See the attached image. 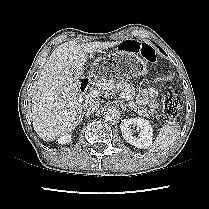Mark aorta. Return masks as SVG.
<instances>
[{
    "label": "aorta",
    "mask_w": 209,
    "mask_h": 209,
    "mask_svg": "<svg viewBox=\"0 0 209 209\" xmlns=\"http://www.w3.org/2000/svg\"><path fill=\"white\" fill-rule=\"evenodd\" d=\"M119 112L115 107H107L103 112V118L106 121H114L118 118Z\"/></svg>",
    "instance_id": "aorta-1"
}]
</instances>
